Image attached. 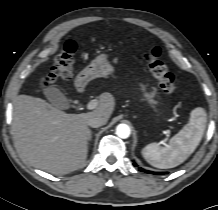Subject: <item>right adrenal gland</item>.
I'll list each match as a JSON object with an SVG mask.
<instances>
[{
	"mask_svg": "<svg viewBox=\"0 0 218 210\" xmlns=\"http://www.w3.org/2000/svg\"><path fill=\"white\" fill-rule=\"evenodd\" d=\"M91 140V133H90V135H89V141Z\"/></svg>",
	"mask_w": 218,
	"mask_h": 210,
	"instance_id": "2a0ac1e0",
	"label": "right adrenal gland"
}]
</instances>
